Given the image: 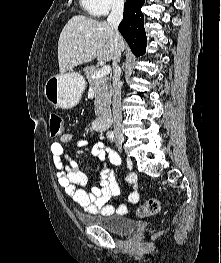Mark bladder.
Listing matches in <instances>:
<instances>
[{
  "label": "bladder",
  "instance_id": "1",
  "mask_svg": "<svg viewBox=\"0 0 221 263\" xmlns=\"http://www.w3.org/2000/svg\"><path fill=\"white\" fill-rule=\"evenodd\" d=\"M78 219L84 224L98 226L118 235L128 234L137 227L136 220L119 214H102L96 216L80 215Z\"/></svg>",
  "mask_w": 221,
  "mask_h": 263
}]
</instances>
